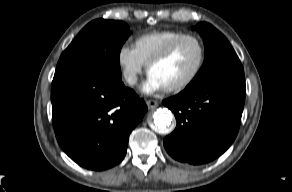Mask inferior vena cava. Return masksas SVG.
Instances as JSON below:
<instances>
[{"mask_svg": "<svg viewBox=\"0 0 292 192\" xmlns=\"http://www.w3.org/2000/svg\"><path fill=\"white\" fill-rule=\"evenodd\" d=\"M137 81V78L135 76H130L128 79H127V82L131 85H134Z\"/></svg>", "mask_w": 292, "mask_h": 192, "instance_id": "1", "label": "inferior vena cava"}]
</instances>
